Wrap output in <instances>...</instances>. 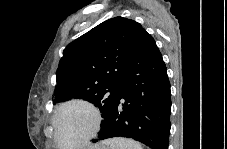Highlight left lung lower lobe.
<instances>
[{
    "label": "left lung lower lobe",
    "instance_id": "1",
    "mask_svg": "<svg viewBox=\"0 0 227 149\" xmlns=\"http://www.w3.org/2000/svg\"><path fill=\"white\" fill-rule=\"evenodd\" d=\"M170 114L167 69L154 39L143 29L120 93L92 141L127 137L152 149H168Z\"/></svg>",
    "mask_w": 227,
    "mask_h": 149
}]
</instances>
